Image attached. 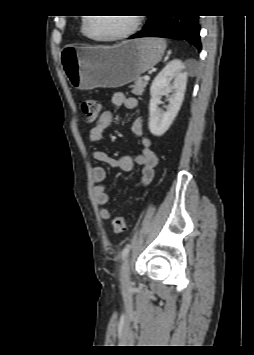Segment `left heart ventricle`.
Masks as SVG:
<instances>
[{"label": "left heart ventricle", "mask_w": 254, "mask_h": 355, "mask_svg": "<svg viewBox=\"0 0 254 355\" xmlns=\"http://www.w3.org/2000/svg\"><path fill=\"white\" fill-rule=\"evenodd\" d=\"M132 16H111L94 18L91 31L98 37H111L126 31L132 24Z\"/></svg>", "instance_id": "b2bd125f"}]
</instances>
